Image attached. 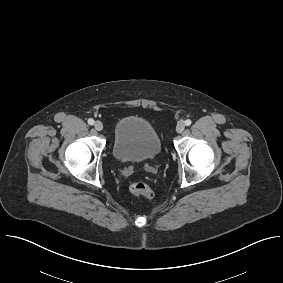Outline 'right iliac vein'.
Listing matches in <instances>:
<instances>
[{"instance_id": "right-iliac-vein-1", "label": "right iliac vein", "mask_w": 283, "mask_h": 283, "mask_svg": "<svg viewBox=\"0 0 283 283\" xmlns=\"http://www.w3.org/2000/svg\"><path fill=\"white\" fill-rule=\"evenodd\" d=\"M94 127H95V129H96L97 131H101V130L103 129V124H102V122H100V121H96V122L94 123Z\"/></svg>"}]
</instances>
